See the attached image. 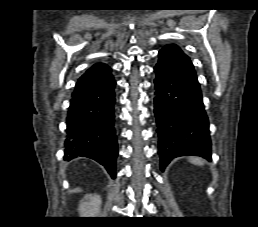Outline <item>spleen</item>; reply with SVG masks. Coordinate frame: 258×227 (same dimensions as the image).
Here are the masks:
<instances>
[{
    "mask_svg": "<svg viewBox=\"0 0 258 227\" xmlns=\"http://www.w3.org/2000/svg\"><path fill=\"white\" fill-rule=\"evenodd\" d=\"M189 162H191L192 164H196V165H203L204 164V161L200 158H197V157L189 158Z\"/></svg>",
    "mask_w": 258,
    "mask_h": 227,
    "instance_id": "3e777b00",
    "label": "spleen"
}]
</instances>
